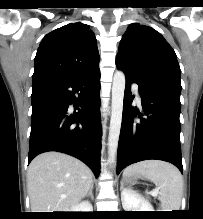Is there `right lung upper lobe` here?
Segmentation results:
<instances>
[{
    "label": "right lung upper lobe",
    "instance_id": "right-lung-upper-lobe-1",
    "mask_svg": "<svg viewBox=\"0 0 203 219\" xmlns=\"http://www.w3.org/2000/svg\"><path fill=\"white\" fill-rule=\"evenodd\" d=\"M94 33L83 23H70L48 33L35 56L33 80L87 74L99 69Z\"/></svg>",
    "mask_w": 203,
    "mask_h": 219
}]
</instances>
